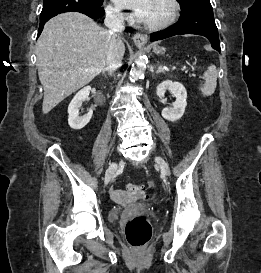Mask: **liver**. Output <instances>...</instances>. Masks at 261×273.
Instances as JSON below:
<instances>
[{
	"instance_id": "liver-1",
	"label": "liver",
	"mask_w": 261,
	"mask_h": 273,
	"mask_svg": "<svg viewBox=\"0 0 261 273\" xmlns=\"http://www.w3.org/2000/svg\"><path fill=\"white\" fill-rule=\"evenodd\" d=\"M109 43L108 31L82 13H62L45 24L36 43L44 114L103 71ZM120 50L124 55L122 41Z\"/></svg>"
}]
</instances>
